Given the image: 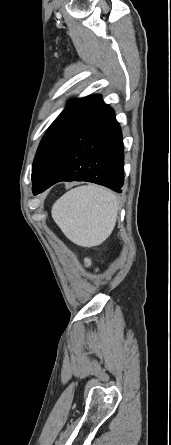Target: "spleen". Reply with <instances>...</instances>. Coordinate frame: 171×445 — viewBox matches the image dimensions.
I'll return each instance as SVG.
<instances>
[{"instance_id":"obj_1","label":"spleen","mask_w":171,"mask_h":445,"mask_svg":"<svg viewBox=\"0 0 171 445\" xmlns=\"http://www.w3.org/2000/svg\"><path fill=\"white\" fill-rule=\"evenodd\" d=\"M118 199L101 186H80L66 192L53 205L51 214L65 236L83 247L98 246L112 233Z\"/></svg>"}]
</instances>
